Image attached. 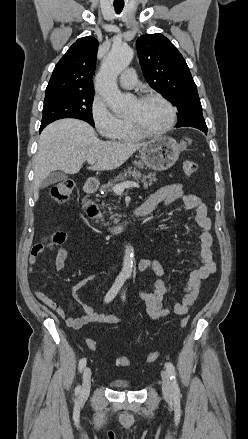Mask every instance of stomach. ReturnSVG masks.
Masks as SVG:
<instances>
[{
	"label": "stomach",
	"instance_id": "stomach-1",
	"mask_svg": "<svg viewBox=\"0 0 248 439\" xmlns=\"http://www.w3.org/2000/svg\"><path fill=\"white\" fill-rule=\"evenodd\" d=\"M182 149L173 138L157 137L141 148V161L155 171H164L176 163Z\"/></svg>",
	"mask_w": 248,
	"mask_h": 439
}]
</instances>
